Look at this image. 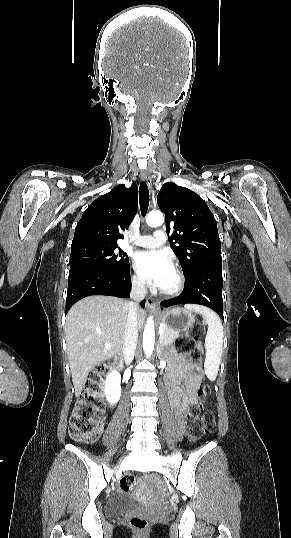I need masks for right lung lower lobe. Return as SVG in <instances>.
<instances>
[{
	"mask_svg": "<svg viewBox=\"0 0 291 538\" xmlns=\"http://www.w3.org/2000/svg\"><path fill=\"white\" fill-rule=\"evenodd\" d=\"M130 265L121 270L80 268L69 272L66 313L80 299L91 295L130 296ZM145 306V301L141 302Z\"/></svg>",
	"mask_w": 291,
	"mask_h": 538,
	"instance_id": "1",
	"label": "right lung lower lobe"
}]
</instances>
